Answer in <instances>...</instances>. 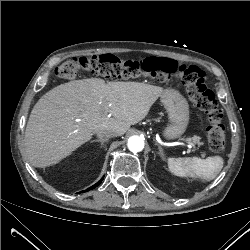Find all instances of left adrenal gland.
<instances>
[{
    "instance_id": "obj_1",
    "label": "left adrenal gland",
    "mask_w": 250,
    "mask_h": 250,
    "mask_svg": "<svg viewBox=\"0 0 250 250\" xmlns=\"http://www.w3.org/2000/svg\"><path fill=\"white\" fill-rule=\"evenodd\" d=\"M155 145L158 146L159 155H160L162 158H164V157H165V154H164V151H163L162 147L160 146V144H158V143L156 142Z\"/></svg>"
}]
</instances>
